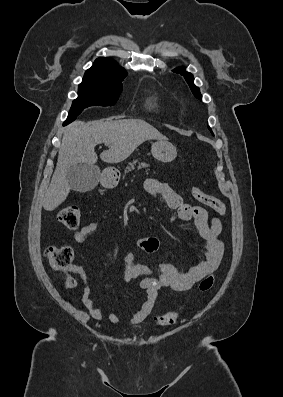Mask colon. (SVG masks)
I'll use <instances>...</instances> for the list:
<instances>
[{"label": "colon", "mask_w": 283, "mask_h": 397, "mask_svg": "<svg viewBox=\"0 0 283 397\" xmlns=\"http://www.w3.org/2000/svg\"><path fill=\"white\" fill-rule=\"evenodd\" d=\"M192 196L200 203L212 208L220 215H224L225 204L217 197L207 194L197 186L191 189ZM81 210L76 205H69L61 209L57 215L58 221L68 228H75L79 225ZM45 257L47 258L51 268L58 272L67 273L72 265L73 250L68 245H53L46 249ZM215 283V277L210 275L205 277L199 284L200 292H208ZM74 281L67 277L65 286L71 288ZM180 316L179 311H170L158 317L157 322L162 326L173 324Z\"/></svg>", "instance_id": "5ec220e1"}]
</instances>
